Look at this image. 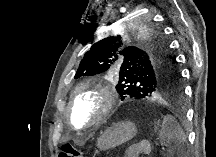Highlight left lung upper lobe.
I'll return each mask as SVG.
<instances>
[{
  "mask_svg": "<svg viewBox=\"0 0 216 157\" xmlns=\"http://www.w3.org/2000/svg\"><path fill=\"white\" fill-rule=\"evenodd\" d=\"M112 27L109 35L85 53L74 78L106 71L119 74L116 90L121 100L151 99L182 94L181 74L155 19H130Z\"/></svg>",
  "mask_w": 216,
  "mask_h": 157,
  "instance_id": "5c2ea615",
  "label": "left lung upper lobe"
}]
</instances>
